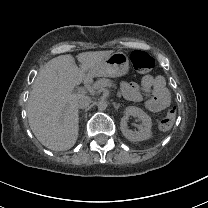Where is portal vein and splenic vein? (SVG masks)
Returning <instances> with one entry per match:
<instances>
[{
    "label": "portal vein and splenic vein",
    "mask_w": 208,
    "mask_h": 208,
    "mask_svg": "<svg viewBox=\"0 0 208 208\" xmlns=\"http://www.w3.org/2000/svg\"><path fill=\"white\" fill-rule=\"evenodd\" d=\"M108 81L107 80H101L98 83H94L92 87H89L88 90L89 91H93V89H99L102 88L101 86L103 85H107Z\"/></svg>",
    "instance_id": "1"
}]
</instances>
